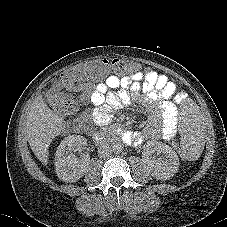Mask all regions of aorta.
<instances>
[{"mask_svg": "<svg viewBox=\"0 0 227 227\" xmlns=\"http://www.w3.org/2000/svg\"><path fill=\"white\" fill-rule=\"evenodd\" d=\"M122 149H123V147H122V145H121L120 143H116V144H114V145L112 146V151H113L114 153H116V154L121 153V152H122Z\"/></svg>", "mask_w": 227, "mask_h": 227, "instance_id": "obj_1", "label": "aorta"}]
</instances>
